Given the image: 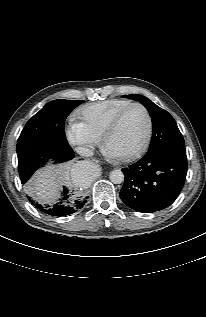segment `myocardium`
<instances>
[{
    "label": "myocardium",
    "mask_w": 206,
    "mask_h": 317,
    "mask_svg": "<svg viewBox=\"0 0 206 317\" xmlns=\"http://www.w3.org/2000/svg\"><path fill=\"white\" fill-rule=\"evenodd\" d=\"M135 107L141 108L146 116V121H147L146 133H145L143 142L136 150H134L126 155L116 156L117 159L122 160V161H130V160L136 159L137 157H139L140 155H142L145 152V150L147 149V147L150 143L152 129H153V122H152V117H151V114H150L148 108L145 105H143L142 103H138V102L131 103L130 105H128L127 107L122 109L120 112H118L113 117V119L110 121V123L108 124V126L106 127L105 131L103 132V134L101 136L102 145L105 148L107 140L110 137V135L118 128V126L120 125V123L122 122V120L126 116V114L131 109H133Z\"/></svg>",
    "instance_id": "f54148a6"
}]
</instances>
